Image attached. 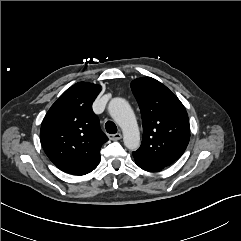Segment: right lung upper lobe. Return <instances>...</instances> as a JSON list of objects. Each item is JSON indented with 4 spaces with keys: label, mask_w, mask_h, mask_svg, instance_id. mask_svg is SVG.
Wrapping results in <instances>:
<instances>
[{
    "label": "right lung upper lobe",
    "mask_w": 241,
    "mask_h": 241,
    "mask_svg": "<svg viewBox=\"0 0 241 241\" xmlns=\"http://www.w3.org/2000/svg\"><path fill=\"white\" fill-rule=\"evenodd\" d=\"M100 90L96 84L76 83L51 106L42 121L43 149L52 163L66 173L87 174L100 161L101 146L108 140L92 110Z\"/></svg>",
    "instance_id": "cb5924a9"
}]
</instances>
